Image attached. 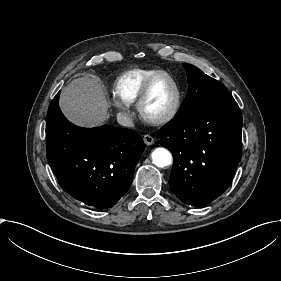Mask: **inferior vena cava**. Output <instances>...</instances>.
Returning <instances> with one entry per match:
<instances>
[{
	"mask_svg": "<svg viewBox=\"0 0 281 281\" xmlns=\"http://www.w3.org/2000/svg\"><path fill=\"white\" fill-rule=\"evenodd\" d=\"M117 122L122 126L133 127L134 123L131 117L125 115L124 113L117 114Z\"/></svg>",
	"mask_w": 281,
	"mask_h": 281,
	"instance_id": "obj_1",
	"label": "inferior vena cava"
}]
</instances>
